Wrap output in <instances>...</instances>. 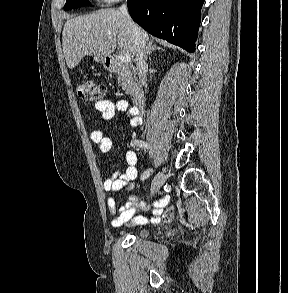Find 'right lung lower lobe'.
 Instances as JSON below:
<instances>
[{
  "label": "right lung lower lobe",
  "instance_id": "obj_1",
  "mask_svg": "<svg viewBox=\"0 0 288 293\" xmlns=\"http://www.w3.org/2000/svg\"><path fill=\"white\" fill-rule=\"evenodd\" d=\"M204 0H127L132 19L150 34L195 51Z\"/></svg>",
  "mask_w": 288,
  "mask_h": 293
}]
</instances>
